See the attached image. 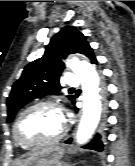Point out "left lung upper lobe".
<instances>
[{
  "label": "left lung upper lobe",
  "mask_w": 135,
  "mask_h": 166,
  "mask_svg": "<svg viewBox=\"0 0 135 166\" xmlns=\"http://www.w3.org/2000/svg\"><path fill=\"white\" fill-rule=\"evenodd\" d=\"M72 53L84 54L90 60L95 58L86 37L75 27L67 26L51 38L44 55L29 63L14 83L7 99L8 122H12L17 111L33 99L58 94L59 77L64 69L62 59ZM67 97L74 101L73 95Z\"/></svg>",
  "instance_id": "1"
}]
</instances>
